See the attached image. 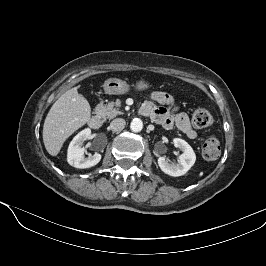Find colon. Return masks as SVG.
I'll list each match as a JSON object with an SVG mask.
<instances>
[{"label": "colon", "mask_w": 266, "mask_h": 266, "mask_svg": "<svg viewBox=\"0 0 266 266\" xmlns=\"http://www.w3.org/2000/svg\"><path fill=\"white\" fill-rule=\"evenodd\" d=\"M192 123L197 128L208 127L212 123L210 112L203 107L197 108L192 115ZM220 154V141L216 136L208 137L202 146V155L207 160H215Z\"/></svg>", "instance_id": "obj_1"}]
</instances>
